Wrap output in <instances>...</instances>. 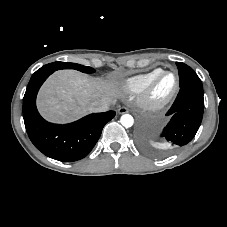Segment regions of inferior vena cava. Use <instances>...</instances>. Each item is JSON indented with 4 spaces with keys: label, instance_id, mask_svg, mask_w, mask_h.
Returning a JSON list of instances; mask_svg holds the SVG:
<instances>
[{
    "label": "inferior vena cava",
    "instance_id": "inferior-vena-cava-1",
    "mask_svg": "<svg viewBox=\"0 0 227 227\" xmlns=\"http://www.w3.org/2000/svg\"><path fill=\"white\" fill-rule=\"evenodd\" d=\"M111 102L109 100L102 99L92 104V110L94 112H105L108 111Z\"/></svg>",
    "mask_w": 227,
    "mask_h": 227
}]
</instances>
